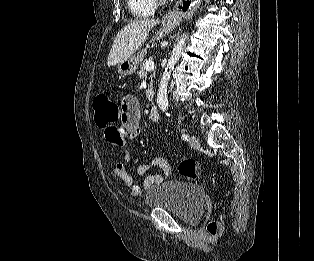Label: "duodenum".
Segmentation results:
<instances>
[{
	"label": "duodenum",
	"mask_w": 314,
	"mask_h": 261,
	"mask_svg": "<svg viewBox=\"0 0 314 261\" xmlns=\"http://www.w3.org/2000/svg\"><path fill=\"white\" fill-rule=\"evenodd\" d=\"M149 117L152 121H158L159 120V111L155 105H151V107L149 109Z\"/></svg>",
	"instance_id": "1"
}]
</instances>
